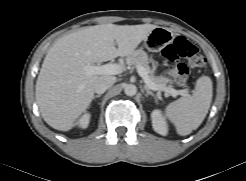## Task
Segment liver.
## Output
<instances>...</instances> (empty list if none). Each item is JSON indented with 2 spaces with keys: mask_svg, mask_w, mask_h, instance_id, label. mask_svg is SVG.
I'll return each instance as SVG.
<instances>
[{
  "mask_svg": "<svg viewBox=\"0 0 246 181\" xmlns=\"http://www.w3.org/2000/svg\"><path fill=\"white\" fill-rule=\"evenodd\" d=\"M156 27L109 23L59 39L47 52L36 82V101L44 121L54 129L70 130L89 107L98 79L109 76H86L83 66L131 55Z\"/></svg>",
  "mask_w": 246,
  "mask_h": 181,
  "instance_id": "6515ba94",
  "label": "liver"
}]
</instances>
